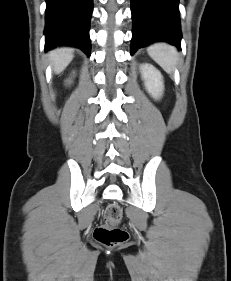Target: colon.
Instances as JSON below:
<instances>
[{
    "instance_id": "colon-1",
    "label": "colon",
    "mask_w": 231,
    "mask_h": 281,
    "mask_svg": "<svg viewBox=\"0 0 231 281\" xmlns=\"http://www.w3.org/2000/svg\"><path fill=\"white\" fill-rule=\"evenodd\" d=\"M122 210L119 205L113 203L107 206L103 214L102 223L95 229L94 238L100 244L114 247L128 240V232L120 227Z\"/></svg>"
}]
</instances>
